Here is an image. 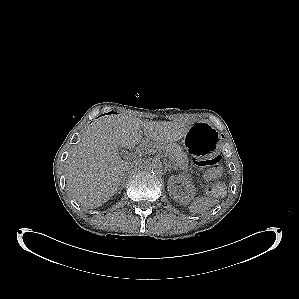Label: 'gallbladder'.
<instances>
[{
    "mask_svg": "<svg viewBox=\"0 0 299 299\" xmlns=\"http://www.w3.org/2000/svg\"><path fill=\"white\" fill-rule=\"evenodd\" d=\"M120 153H122V154H123V150H121V151H120Z\"/></svg>",
    "mask_w": 299,
    "mask_h": 299,
    "instance_id": "1",
    "label": "gallbladder"
}]
</instances>
